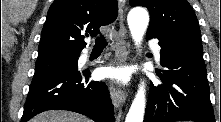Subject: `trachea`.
<instances>
[{
  "mask_svg": "<svg viewBox=\"0 0 221 122\" xmlns=\"http://www.w3.org/2000/svg\"><path fill=\"white\" fill-rule=\"evenodd\" d=\"M96 43L95 46L96 47H105L107 45V41L103 38H96Z\"/></svg>",
  "mask_w": 221,
  "mask_h": 122,
  "instance_id": "1",
  "label": "trachea"
}]
</instances>
